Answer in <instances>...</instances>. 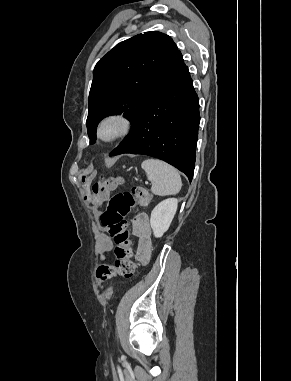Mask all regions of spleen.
I'll list each match as a JSON object with an SVG mask.
<instances>
[{"label":"spleen","mask_w":291,"mask_h":381,"mask_svg":"<svg viewBox=\"0 0 291 381\" xmlns=\"http://www.w3.org/2000/svg\"><path fill=\"white\" fill-rule=\"evenodd\" d=\"M147 178L152 182L151 192L159 196L175 195L182 187L179 172L168 163L158 159H146L141 164Z\"/></svg>","instance_id":"spleen-1"}]
</instances>
